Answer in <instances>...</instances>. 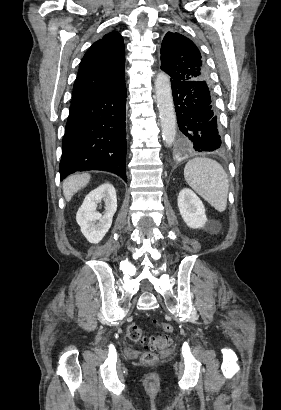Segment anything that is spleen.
Returning a JSON list of instances; mask_svg holds the SVG:
<instances>
[{
    "label": "spleen",
    "mask_w": 281,
    "mask_h": 410,
    "mask_svg": "<svg viewBox=\"0 0 281 410\" xmlns=\"http://www.w3.org/2000/svg\"><path fill=\"white\" fill-rule=\"evenodd\" d=\"M184 177L189 186L217 211H225L229 180L218 162L204 157L191 159L185 165Z\"/></svg>",
    "instance_id": "obj_1"
}]
</instances>
